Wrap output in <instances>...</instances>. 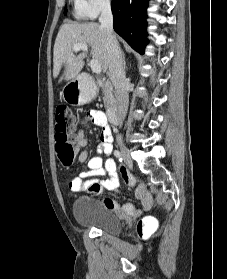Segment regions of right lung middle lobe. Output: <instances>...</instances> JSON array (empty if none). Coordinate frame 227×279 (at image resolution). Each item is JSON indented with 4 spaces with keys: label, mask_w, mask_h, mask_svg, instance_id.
<instances>
[{
    "label": "right lung middle lobe",
    "mask_w": 227,
    "mask_h": 279,
    "mask_svg": "<svg viewBox=\"0 0 227 279\" xmlns=\"http://www.w3.org/2000/svg\"><path fill=\"white\" fill-rule=\"evenodd\" d=\"M64 14H67V9L65 8V10H64Z\"/></svg>",
    "instance_id": "obj_1"
}]
</instances>
